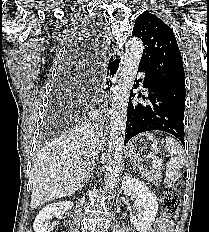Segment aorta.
Masks as SVG:
<instances>
[{
	"instance_id": "762f6f07",
	"label": "aorta",
	"mask_w": 209,
	"mask_h": 232,
	"mask_svg": "<svg viewBox=\"0 0 209 232\" xmlns=\"http://www.w3.org/2000/svg\"><path fill=\"white\" fill-rule=\"evenodd\" d=\"M143 49L141 40L133 38L127 41L123 67L114 88L110 111L108 153L104 166V182L107 189H113L116 186L121 171L129 96Z\"/></svg>"
}]
</instances>
